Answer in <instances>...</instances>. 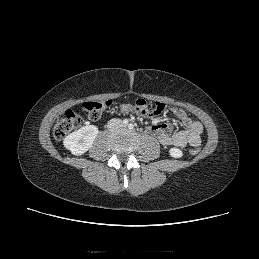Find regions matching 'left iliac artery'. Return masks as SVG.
I'll return each mask as SVG.
<instances>
[{
    "mask_svg": "<svg viewBox=\"0 0 259 259\" xmlns=\"http://www.w3.org/2000/svg\"><path fill=\"white\" fill-rule=\"evenodd\" d=\"M129 129H133L134 128V125L133 124H129Z\"/></svg>",
    "mask_w": 259,
    "mask_h": 259,
    "instance_id": "left-iliac-artery-1",
    "label": "left iliac artery"
}]
</instances>
